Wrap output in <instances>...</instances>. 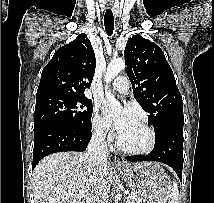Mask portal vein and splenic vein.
I'll list each match as a JSON object with an SVG mask.
<instances>
[{
	"label": "portal vein and splenic vein",
	"mask_w": 214,
	"mask_h": 203,
	"mask_svg": "<svg viewBox=\"0 0 214 203\" xmlns=\"http://www.w3.org/2000/svg\"><path fill=\"white\" fill-rule=\"evenodd\" d=\"M82 193V192H81ZM129 199H131V197H129ZM127 203H131V200H128V202Z\"/></svg>",
	"instance_id": "portal-vein-and-splenic-vein-1"
}]
</instances>
